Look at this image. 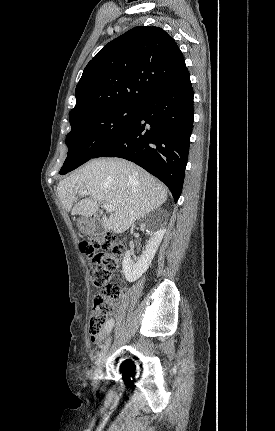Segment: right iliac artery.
Masks as SVG:
<instances>
[{
	"mask_svg": "<svg viewBox=\"0 0 275 431\" xmlns=\"http://www.w3.org/2000/svg\"><path fill=\"white\" fill-rule=\"evenodd\" d=\"M113 326H114V320L113 319L108 320L106 327H105L107 335H109V333L112 331ZM101 347H102V345H101Z\"/></svg>",
	"mask_w": 275,
	"mask_h": 431,
	"instance_id": "right-iliac-artery-1",
	"label": "right iliac artery"
}]
</instances>
